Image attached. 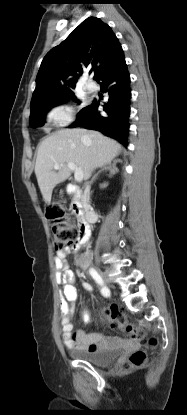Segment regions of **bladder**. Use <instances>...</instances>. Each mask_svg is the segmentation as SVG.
<instances>
[{"instance_id": "obj_1", "label": "bladder", "mask_w": 187, "mask_h": 415, "mask_svg": "<svg viewBox=\"0 0 187 415\" xmlns=\"http://www.w3.org/2000/svg\"><path fill=\"white\" fill-rule=\"evenodd\" d=\"M122 353L121 347L106 350L87 351L82 349H72L70 354L79 360L89 362L96 366H107L113 363Z\"/></svg>"}]
</instances>
